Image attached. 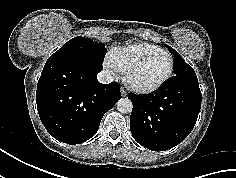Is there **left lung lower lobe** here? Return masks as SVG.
I'll use <instances>...</instances> for the list:
<instances>
[{"label": "left lung lower lobe", "instance_id": "left-lung-lower-lobe-1", "mask_svg": "<svg viewBox=\"0 0 236 178\" xmlns=\"http://www.w3.org/2000/svg\"><path fill=\"white\" fill-rule=\"evenodd\" d=\"M130 130L134 139L153 151L168 150L192 131L201 107L197 77L170 78L149 95H132Z\"/></svg>", "mask_w": 236, "mask_h": 178}]
</instances>
